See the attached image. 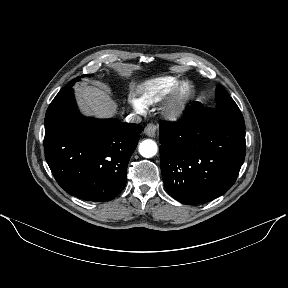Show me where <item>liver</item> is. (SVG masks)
I'll list each match as a JSON object with an SVG mask.
<instances>
[{
	"label": "liver",
	"instance_id": "6515ba94",
	"mask_svg": "<svg viewBox=\"0 0 288 288\" xmlns=\"http://www.w3.org/2000/svg\"><path fill=\"white\" fill-rule=\"evenodd\" d=\"M79 105L89 115L109 118L116 114L117 104L105 91L89 85L77 88Z\"/></svg>",
	"mask_w": 288,
	"mask_h": 288
}]
</instances>
